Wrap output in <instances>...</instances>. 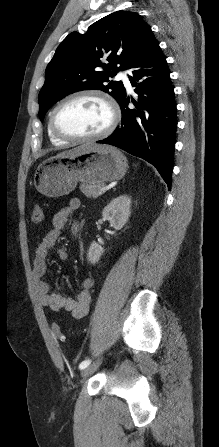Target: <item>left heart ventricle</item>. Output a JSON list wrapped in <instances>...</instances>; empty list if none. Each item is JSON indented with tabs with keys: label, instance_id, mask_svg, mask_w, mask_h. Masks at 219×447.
Returning a JSON list of instances; mask_svg holds the SVG:
<instances>
[{
	"label": "left heart ventricle",
	"instance_id": "left-heart-ventricle-1",
	"mask_svg": "<svg viewBox=\"0 0 219 447\" xmlns=\"http://www.w3.org/2000/svg\"><path fill=\"white\" fill-rule=\"evenodd\" d=\"M108 107L95 97H81L64 104L56 115L59 130L72 136H89L108 124Z\"/></svg>",
	"mask_w": 219,
	"mask_h": 447
}]
</instances>
